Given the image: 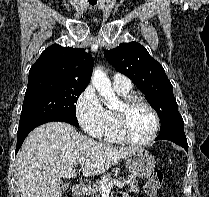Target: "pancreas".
I'll return each mask as SVG.
<instances>
[{
    "mask_svg": "<svg viewBox=\"0 0 209 197\" xmlns=\"http://www.w3.org/2000/svg\"><path fill=\"white\" fill-rule=\"evenodd\" d=\"M111 179V174H105L101 180H97L95 183H93L92 185L88 186L87 188V192L89 194H91L93 197H101V182H109ZM128 186H129V191L130 192H135L138 193L139 192V188H138V181L132 177L129 176L128 177Z\"/></svg>",
    "mask_w": 209,
    "mask_h": 197,
    "instance_id": "cf45deb5",
    "label": "pancreas"
}]
</instances>
